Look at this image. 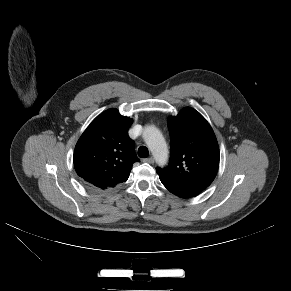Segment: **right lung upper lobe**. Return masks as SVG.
Segmentation results:
<instances>
[{
	"label": "right lung upper lobe",
	"mask_w": 291,
	"mask_h": 291,
	"mask_svg": "<svg viewBox=\"0 0 291 291\" xmlns=\"http://www.w3.org/2000/svg\"><path fill=\"white\" fill-rule=\"evenodd\" d=\"M131 124L117 109H108L87 127L74 151L75 170L85 183L104 190L127 181L139 161L128 136Z\"/></svg>",
	"instance_id": "cb5924a9"
}]
</instances>
